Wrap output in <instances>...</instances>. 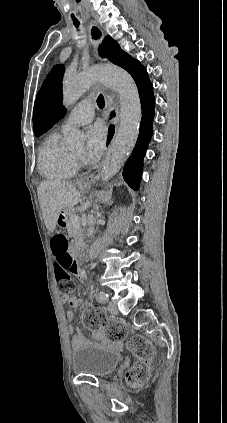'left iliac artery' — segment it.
<instances>
[{"label": "left iliac artery", "instance_id": "1", "mask_svg": "<svg viewBox=\"0 0 227 423\" xmlns=\"http://www.w3.org/2000/svg\"><path fill=\"white\" fill-rule=\"evenodd\" d=\"M98 300L100 302H106L108 300V294L104 293V292H100L98 295Z\"/></svg>", "mask_w": 227, "mask_h": 423}]
</instances>
